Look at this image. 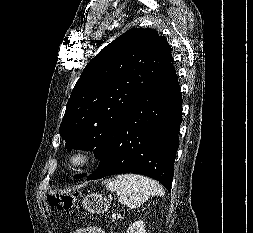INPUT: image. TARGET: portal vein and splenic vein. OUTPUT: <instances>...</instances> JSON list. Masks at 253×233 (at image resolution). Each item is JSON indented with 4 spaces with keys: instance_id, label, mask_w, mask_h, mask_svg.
Returning a JSON list of instances; mask_svg holds the SVG:
<instances>
[{
    "instance_id": "18ae733b",
    "label": "portal vein and splenic vein",
    "mask_w": 253,
    "mask_h": 233,
    "mask_svg": "<svg viewBox=\"0 0 253 233\" xmlns=\"http://www.w3.org/2000/svg\"><path fill=\"white\" fill-rule=\"evenodd\" d=\"M118 218H121V216H120V215H118Z\"/></svg>"
}]
</instances>
